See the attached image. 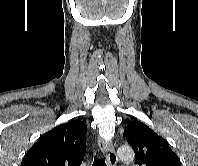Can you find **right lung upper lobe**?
<instances>
[{"label":"right lung upper lobe","mask_w":198,"mask_h":166,"mask_svg":"<svg viewBox=\"0 0 198 166\" xmlns=\"http://www.w3.org/2000/svg\"><path fill=\"white\" fill-rule=\"evenodd\" d=\"M87 126L69 121L42 135L20 166H80L86 151Z\"/></svg>","instance_id":"right-lung-upper-lobe-1"}]
</instances>
